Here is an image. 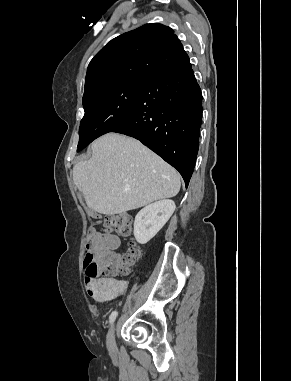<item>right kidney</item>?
<instances>
[{
	"instance_id": "1",
	"label": "right kidney",
	"mask_w": 291,
	"mask_h": 381,
	"mask_svg": "<svg viewBox=\"0 0 291 381\" xmlns=\"http://www.w3.org/2000/svg\"><path fill=\"white\" fill-rule=\"evenodd\" d=\"M175 207L174 201L163 199L140 210L134 221L136 241L140 244L150 241L172 216Z\"/></svg>"
}]
</instances>
